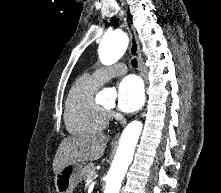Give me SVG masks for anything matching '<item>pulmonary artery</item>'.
Listing matches in <instances>:
<instances>
[{
  "mask_svg": "<svg viewBox=\"0 0 221 193\" xmlns=\"http://www.w3.org/2000/svg\"><path fill=\"white\" fill-rule=\"evenodd\" d=\"M127 72V66L125 64H117L112 67L99 68L94 71L92 78L99 84L104 83L109 78L122 75Z\"/></svg>",
  "mask_w": 221,
  "mask_h": 193,
  "instance_id": "pulmonary-artery-1",
  "label": "pulmonary artery"
}]
</instances>
